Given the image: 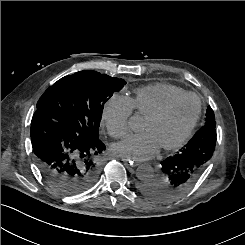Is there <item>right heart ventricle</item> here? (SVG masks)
Listing matches in <instances>:
<instances>
[{
  "instance_id": "right-heart-ventricle-1",
  "label": "right heart ventricle",
  "mask_w": 245,
  "mask_h": 245,
  "mask_svg": "<svg viewBox=\"0 0 245 245\" xmlns=\"http://www.w3.org/2000/svg\"><path fill=\"white\" fill-rule=\"evenodd\" d=\"M185 93L187 92L177 86L156 83L137 89L132 101L136 111L146 118L170 99Z\"/></svg>"
}]
</instances>
